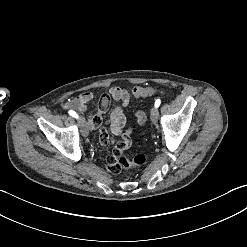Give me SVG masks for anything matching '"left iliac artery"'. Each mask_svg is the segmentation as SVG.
I'll return each mask as SVG.
<instances>
[{
  "label": "left iliac artery",
  "mask_w": 247,
  "mask_h": 247,
  "mask_svg": "<svg viewBox=\"0 0 247 247\" xmlns=\"http://www.w3.org/2000/svg\"><path fill=\"white\" fill-rule=\"evenodd\" d=\"M160 103H161V100L160 99H157L155 101V108H158L160 106Z\"/></svg>",
  "instance_id": "1"
}]
</instances>
